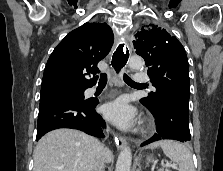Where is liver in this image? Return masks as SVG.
<instances>
[{"mask_svg": "<svg viewBox=\"0 0 223 171\" xmlns=\"http://www.w3.org/2000/svg\"><path fill=\"white\" fill-rule=\"evenodd\" d=\"M99 145L96 138L78 130H53L34 149L33 171H92ZM104 155L107 162L113 160L108 148L104 149Z\"/></svg>", "mask_w": 223, "mask_h": 171, "instance_id": "6515ba94", "label": "liver"}]
</instances>
